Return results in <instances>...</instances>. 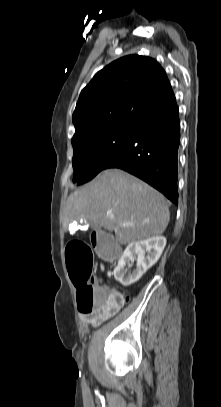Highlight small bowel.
Returning <instances> with one entry per match:
<instances>
[{"label": "small bowel", "mask_w": 221, "mask_h": 407, "mask_svg": "<svg viewBox=\"0 0 221 407\" xmlns=\"http://www.w3.org/2000/svg\"><path fill=\"white\" fill-rule=\"evenodd\" d=\"M111 315H113V314L101 315V314L92 313V314H89V316L84 317V320L91 326H97L98 324L103 322L105 319H107Z\"/></svg>", "instance_id": "1"}]
</instances>
